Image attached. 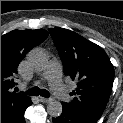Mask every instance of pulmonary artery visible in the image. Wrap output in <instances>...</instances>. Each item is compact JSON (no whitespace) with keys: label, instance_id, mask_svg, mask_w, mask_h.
<instances>
[{"label":"pulmonary artery","instance_id":"1","mask_svg":"<svg viewBox=\"0 0 123 123\" xmlns=\"http://www.w3.org/2000/svg\"><path fill=\"white\" fill-rule=\"evenodd\" d=\"M43 78L49 81L54 94L62 101H69L70 95L61 81V68L58 62L51 61L43 73Z\"/></svg>","mask_w":123,"mask_h":123}]
</instances>
